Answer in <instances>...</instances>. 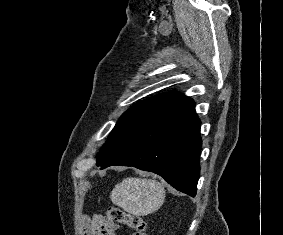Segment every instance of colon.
I'll use <instances>...</instances> for the list:
<instances>
[{"mask_svg":"<svg viewBox=\"0 0 283 235\" xmlns=\"http://www.w3.org/2000/svg\"><path fill=\"white\" fill-rule=\"evenodd\" d=\"M109 220L124 224L131 228L133 235H148V222L145 218L137 215H132L121 208L111 206L107 210Z\"/></svg>","mask_w":283,"mask_h":235,"instance_id":"obj_1","label":"colon"}]
</instances>
